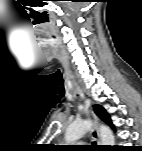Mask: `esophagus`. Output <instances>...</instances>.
Instances as JSON below:
<instances>
[{"mask_svg": "<svg viewBox=\"0 0 142 151\" xmlns=\"http://www.w3.org/2000/svg\"><path fill=\"white\" fill-rule=\"evenodd\" d=\"M95 120H97V118L95 117ZM92 136L98 140V142H100V139H99V132H98V129L95 127L92 129Z\"/></svg>", "mask_w": 142, "mask_h": 151, "instance_id": "1", "label": "esophagus"}]
</instances>
